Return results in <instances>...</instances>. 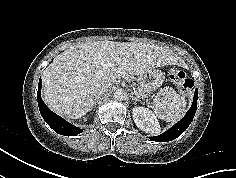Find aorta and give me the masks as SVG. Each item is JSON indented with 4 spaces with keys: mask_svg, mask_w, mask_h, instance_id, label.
<instances>
[{
    "mask_svg": "<svg viewBox=\"0 0 236 178\" xmlns=\"http://www.w3.org/2000/svg\"><path fill=\"white\" fill-rule=\"evenodd\" d=\"M125 92L122 90V89H120V88H118V89H116L115 91H114V98L116 99V100H124L125 99Z\"/></svg>",
    "mask_w": 236,
    "mask_h": 178,
    "instance_id": "aorta-1",
    "label": "aorta"
}]
</instances>
